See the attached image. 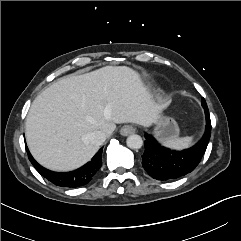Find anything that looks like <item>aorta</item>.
I'll use <instances>...</instances> for the list:
<instances>
[{
	"mask_svg": "<svg viewBox=\"0 0 241 241\" xmlns=\"http://www.w3.org/2000/svg\"><path fill=\"white\" fill-rule=\"evenodd\" d=\"M126 144L130 149H140L143 145V140L141 136L132 134L127 138Z\"/></svg>",
	"mask_w": 241,
	"mask_h": 241,
	"instance_id": "762f6f07",
	"label": "aorta"
}]
</instances>
